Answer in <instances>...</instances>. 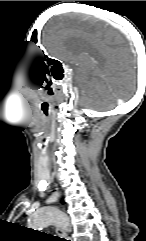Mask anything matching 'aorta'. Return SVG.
Returning a JSON list of instances; mask_svg holds the SVG:
<instances>
[{
  "label": "aorta",
  "mask_w": 146,
  "mask_h": 241,
  "mask_svg": "<svg viewBox=\"0 0 146 241\" xmlns=\"http://www.w3.org/2000/svg\"><path fill=\"white\" fill-rule=\"evenodd\" d=\"M50 224H57L65 230H70V223L67 215L55 207H41L36 210L28 221L29 227L42 229Z\"/></svg>",
  "instance_id": "762f6f07"
}]
</instances>
